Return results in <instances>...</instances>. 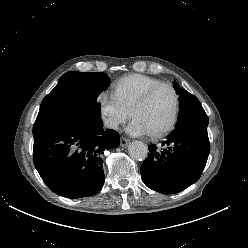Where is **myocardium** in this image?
<instances>
[{
    "label": "myocardium",
    "mask_w": 248,
    "mask_h": 248,
    "mask_svg": "<svg viewBox=\"0 0 248 248\" xmlns=\"http://www.w3.org/2000/svg\"><path fill=\"white\" fill-rule=\"evenodd\" d=\"M163 87H167L169 89H171V91L173 92L174 95V108H173V112L171 115L170 120L168 121V123L161 128L160 130L153 132V133H149L148 135L151 138H158L161 137L163 135H165L166 133H168L169 131H171L173 129V127L175 126L177 119H178V114H179V108H180V96L178 91L175 89V87L170 84V83H159L151 88H149L142 96L141 98L133 105L131 111H130V117L133 119L135 113L142 109L150 100V98L152 97V95L159 90L160 88Z\"/></svg>",
    "instance_id": "myocardium-1"
}]
</instances>
